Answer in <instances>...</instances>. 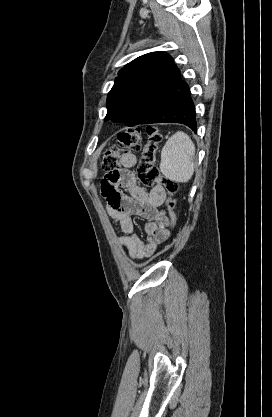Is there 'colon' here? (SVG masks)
Segmentation results:
<instances>
[{
    "mask_svg": "<svg viewBox=\"0 0 272 417\" xmlns=\"http://www.w3.org/2000/svg\"><path fill=\"white\" fill-rule=\"evenodd\" d=\"M147 143L143 147L140 159V177L147 185L157 184L166 190L168 197L165 207L169 219V227L172 229L176 223V201L174 195L178 190V184L161 175L156 166V157L159 145L162 141L161 131L155 126L146 128ZM142 147L139 129L122 131L115 145L107 149L103 155L101 169L109 174L119 170L122 156L130 151H138Z\"/></svg>",
    "mask_w": 272,
    "mask_h": 417,
    "instance_id": "colon-1",
    "label": "colon"
}]
</instances>
